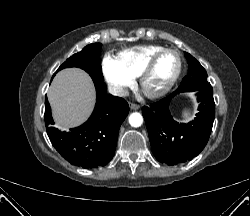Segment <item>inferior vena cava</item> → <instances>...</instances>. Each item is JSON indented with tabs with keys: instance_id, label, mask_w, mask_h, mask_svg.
Listing matches in <instances>:
<instances>
[{
	"instance_id": "1",
	"label": "inferior vena cava",
	"mask_w": 250,
	"mask_h": 216,
	"mask_svg": "<svg viewBox=\"0 0 250 216\" xmlns=\"http://www.w3.org/2000/svg\"><path fill=\"white\" fill-rule=\"evenodd\" d=\"M108 91L110 94L114 96H120V97H125V96H128L129 94V91L127 88L119 86V85H114V84L108 85Z\"/></svg>"
}]
</instances>
